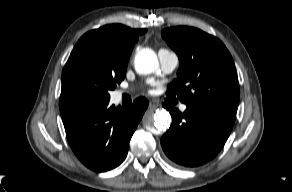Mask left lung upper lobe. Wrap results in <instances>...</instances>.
Wrapping results in <instances>:
<instances>
[{"label":"left lung upper lobe","mask_w":292,"mask_h":192,"mask_svg":"<svg viewBox=\"0 0 292 192\" xmlns=\"http://www.w3.org/2000/svg\"><path fill=\"white\" fill-rule=\"evenodd\" d=\"M163 39L177 53L178 78L167 95L178 96L189 107H210L236 112L239 83L234 61L216 37L193 27H171Z\"/></svg>","instance_id":"obj_1"}]
</instances>
